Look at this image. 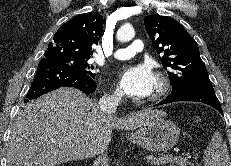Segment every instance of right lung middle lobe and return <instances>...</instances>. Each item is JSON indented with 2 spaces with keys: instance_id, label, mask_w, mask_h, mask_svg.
Returning <instances> with one entry per match:
<instances>
[{
  "instance_id": "obj_1",
  "label": "right lung middle lobe",
  "mask_w": 231,
  "mask_h": 166,
  "mask_svg": "<svg viewBox=\"0 0 231 166\" xmlns=\"http://www.w3.org/2000/svg\"><path fill=\"white\" fill-rule=\"evenodd\" d=\"M53 60L62 64L70 65L74 69L94 77V74L91 72L93 66L88 64L89 58L55 57Z\"/></svg>"
}]
</instances>
